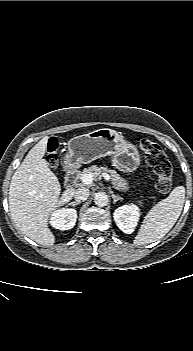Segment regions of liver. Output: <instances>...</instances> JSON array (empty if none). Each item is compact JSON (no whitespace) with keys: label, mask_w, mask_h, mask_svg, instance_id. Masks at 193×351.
Segmentation results:
<instances>
[{"label":"liver","mask_w":193,"mask_h":351,"mask_svg":"<svg viewBox=\"0 0 193 351\" xmlns=\"http://www.w3.org/2000/svg\"><path fill=\"white\" fill-rule=\"evenodd\" d=\"M49 137L30 149L14 172L9 188V208L17 227L30 239L44 246L53 245L55 236L48 228L51 214L69 202L75 189L61 193L56 175L43 159Z\"/></svg>","instance_id":"liver-1"}]
</instances>
